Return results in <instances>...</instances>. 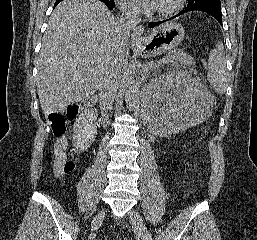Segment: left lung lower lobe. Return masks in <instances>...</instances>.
Instances as JSON below:
<instances>
[{
  "mask_svg": "<svg viewBox=\"0 0 257 240\" xmlns=\"http://www.w3.org/2000/svg\"><path fill=\"white\" fill-rule=\"evenodd\" d=\"M191 11H202V12H206L208 14H210L211 16H213L220 24L222 22V12H221V6H207V7H198V8H185L184 10H182L180 13H178L177 15H175L174 17H171L168 20H171L175 17H178L184 13L187 12H191ZM168 20H163V21H158V22H150L148 25L150 28H154L156 26H158L159 24L166 22Z\"/></svg>",
  "mask_w": 257,
  "mask_h": 240,
  "instance_id": "1",
  "label": "left lung lower lobe"
}]
</instances>
